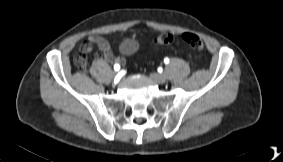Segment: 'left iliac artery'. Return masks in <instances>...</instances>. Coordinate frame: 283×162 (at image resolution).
I'll return each instance as SVG.
<instances>
[{"label":"left iliac artery","instance_id":"44dca946","mask_svg":"<svg viewBox=\"0 0 283 162\" xmlns=\"http://www.w3.org/2000/svg\"><path fill=\"white\" fill-rule=\"evenodd\" d=\"M164 63H165V64H168V63H169V59H168V58H165V59H164Z\"/></svg>","mask_w":283,"mask_h":162}]
</instances>
